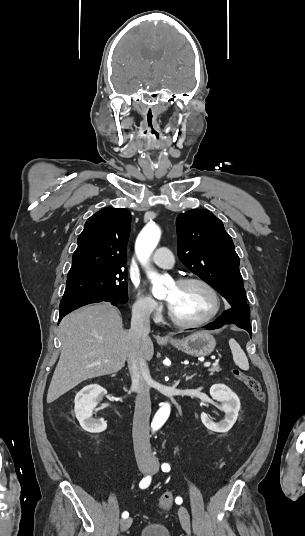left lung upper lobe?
<instances>
[{"label": "left lung upper lobe", "mask_w": 305, "mask_h": 536, "mask_svg": "<svg viewBox=\"0 0 305 536\" xmlns=\"http://www.w3.org/2000/svg\"><path fill=\"white\" fill-rule=\"evenodd\" d=\"M176 227L180 261L219 291L231 308L246 305L239 257L222 221L207 210H190L177 216Z\"/></svg>", "instance_id": "obj_1"}]
</instances>
